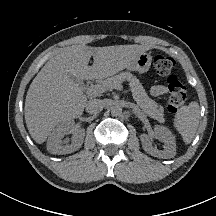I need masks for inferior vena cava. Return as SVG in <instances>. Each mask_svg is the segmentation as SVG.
Returning a JSON list of instances; mask_svg holds the SVG:
<instances>
[{
	"mask_svg": "<svg viewBox=\"0 0 216 216\" xmlns=\"http://www.w3.org/2000/svg\"><path fill=\"white\" fill-rule=\"evenodd\" d=\"M104 108V103L100 99H91L86 103V111L90 114H98Z\"/></svg>",
	"mask_w": 216,
	"mask_h": 216,
	"instance_id": "inferior-vena-cava-1",
	"label": "inferior vena cava"
}]
</instances>
